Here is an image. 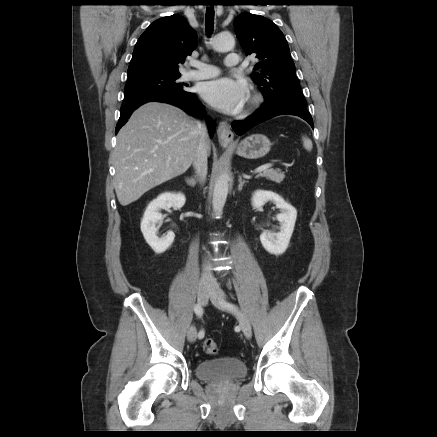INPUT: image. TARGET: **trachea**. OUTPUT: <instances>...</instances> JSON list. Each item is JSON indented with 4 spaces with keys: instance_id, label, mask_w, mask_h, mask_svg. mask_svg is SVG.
I'll list each match as a JSON object with an SVG mask.
<instances>
[{
    "instance_id": "trachea-1",
    "label": "trachea",
    "mask_w": 437,
    "mask_h": 437,
    "mask_svg": "<svg viewBox=\"0 0 437 437\" xmlns=\"http://www.w3.org/2000/svg\"><path fill=\"white\" fill-rule=\"evenodd\" d=\"M205 28L207 35H211L214 29V8L209 7L206 9L205 14Z\"/></svg>"
}]
</instances>
